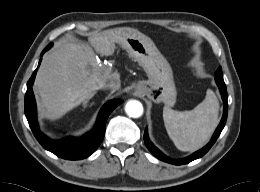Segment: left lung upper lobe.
I'll list each match as a JSON object with an SVG mask.
<instances>
[{"label":"left lung upper lobe","instance_id":"1","mask_svg":"<svg viewBox=\"0 0 260 192\" xmlns=\"http://www.w3.org/2000/svg\"><path fill=\"white\" fill-rule=\"evenodd\" d=\"M216 77L215 79H223V75H222V68L219 67L218 70L215 73Z\"/></svg>","mask_w":260,"mask_h":192}]
</instances>
